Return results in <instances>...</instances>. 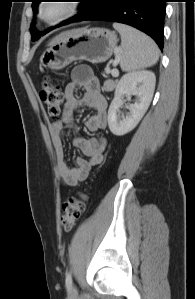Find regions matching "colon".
I'll return each mask as SVG.
<instances>
[{"label":"colon","instance_id":"obj_1","mask_svg":"<svg viewBox=\"0 0 195 299\" xmlns=\"http://www.w3.org/2000/svg\"><path fill=\"white\" fill-rule=\"evenodd\" d=\"M39 96L47 110L48 116L52 120H57L64 98L61 87L45 79L41 84ZM85 200V194L80 193L77 196L69 198L63 204L61 225L64 231L69 232L75 227L76 222L85 210Z\"/></svg>","mask_w":195,"mask_h":299}]
</instances>
